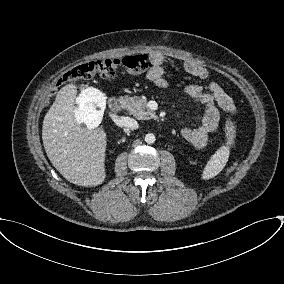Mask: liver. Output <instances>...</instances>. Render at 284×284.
<instances>
[{"label": "liver", "instance_id": "liver-1", "mask_svg": "<svg viewBox=\"0 0 284 284\" xmlns=\"http://www.w3.org/2000/svg\"><path fill=\"white\" fill-rule=\"evenodd\" d=\"M77 87H62L46 113L42 140L52 165L69 182L85 187L105 180L106 134L102 128L89 130L75 120Z\"/></svg>", "mask_w": 284, "mask_h": 284}]
</instances>
